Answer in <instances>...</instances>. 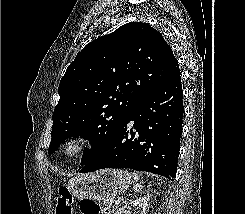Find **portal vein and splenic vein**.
Instances as JSON below:
<instances>
[{
    "mask_svg": "<svg viewBox=\"0 0 245 214\" xmlns=\"http://www.w3.org/2000/svg\"><path fill=\"white\" fill-rule=\"evenodd\" d=\"M119 204H120V200H116L115 205H119Z\"/></svg>",
    "mask_w": 245,
    "mask_h": 214,
    "instance_id": "1",
    "label": "portal vein and splenic vein"
}]
</instances>
